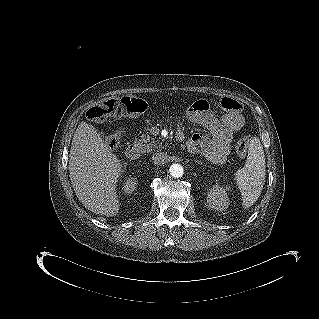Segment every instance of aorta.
Masks as SVG:
<instances>
[{
    "label": "aorta",
    "mask_w": 319,
    "mask_h": 319,
    "mask_svg": "<svg viewBox=\"0 0 319 319\" xmlns=\"http://www.w3.org/2000/svg\"><path fill=\"white\" fill-rule=\"evenodd\" d=\"M170 175L179 178L183 175L184 169L180 164H172L169 168Z\"/></svg>",
    "instance_id": "762f6f07"
}]
</instances>
